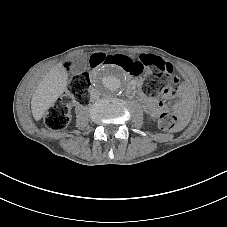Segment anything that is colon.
Returning a JSON list of instances; mask_svg holds the SVG:
<instances>
[{
  "label": "colon",
  "mask_w": 227,
  "mask_h": 227,
  "mask_svg": "<svg viewBox=\"0 0 227 227\" xmlns=\"http://www.w3.org/2000/svg\"><path fill=\"white\" fill-rule=\"evenodd\" d=\"M90 64L94 67L103 64H113L130 76H139L144 71L148 76L144 79L143 90L147 95L159 93L175 94L178 80L173 75L172 66L162 58L152 54L139 56L121 53H98L91 57ZM89 76L86 73L75 74L71 77L64 96L58 99L46 112L44 121L52 130L63 129L70 120V110L73 103L84 105L88 102ZM181 123L178 115L162 113L157 126L164 131L175 130Z\"/></svg>",
  "instance_id": "colon-1"
}]
</instances>
